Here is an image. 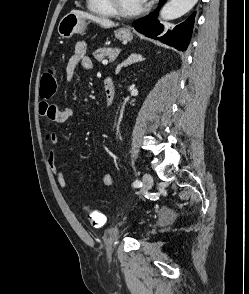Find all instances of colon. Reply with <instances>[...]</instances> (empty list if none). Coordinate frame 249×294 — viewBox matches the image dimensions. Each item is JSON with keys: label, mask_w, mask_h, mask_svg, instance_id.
<instances>
[{"label": "colon", "mask_w": 249, "mask_h": 294, "mask_svg": "<svg viewBox=\"0 0 249 294\" xmlns=\"http://www.w3.org/2000/svg\"><path fill=\"white\" fill-rule=\"evenodd\" d=\"M59 86L58 76L54 69L46 70L41 76L39 96L43 100L51 99L57 92ZM83 211L87 214L90 224L94 228H102L106 224L105 216L88 206H83Z\"/></svg>", "instance_id": "1"}]
</instances>
